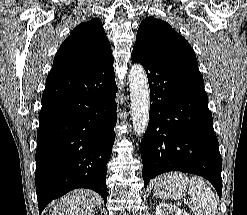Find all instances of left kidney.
<instances>
[{
	"mask_svg": "<svg viewBox=\"0 0 247 215\" xmlns=\"http://www.w3.org/2000/svg\"><path fill=\"white\" fill-rule=\"evenodd\" d=\"M156 215H189L175 205L161 203L156 207Z\"/></svg>",
	"mask_w": 247,
	"mask_h": 215,
	"instance_id": "obj_1",
	"label": "left kidney"
}]
</instances>
